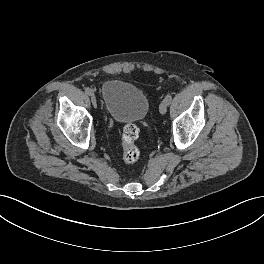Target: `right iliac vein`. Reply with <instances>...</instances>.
Returning a JSON list of instances; mask_svg holds the SVG:
<instances>
[{
    "instance_id": "1",
    "label": "right iliac vein",
    "mask_w": 264,
    "mask_h": 264,
    "mask_svg": "<svg viewBox=\"0 0 264 264\" xmlns=\"http://www.w3.org/2000/svg\"><path fill=\"white\" fill-rule=\"evenodd\" d=\"M90 97H91V101H92L93 106L96 108L97 107V100H96L94 93H91Z\"/></svg>"
}]
</instances>
